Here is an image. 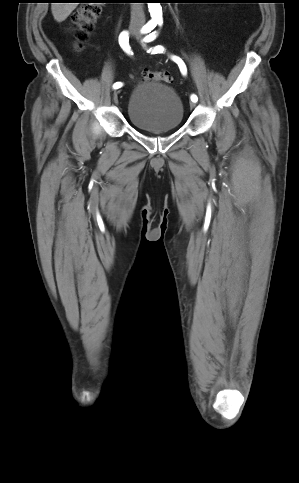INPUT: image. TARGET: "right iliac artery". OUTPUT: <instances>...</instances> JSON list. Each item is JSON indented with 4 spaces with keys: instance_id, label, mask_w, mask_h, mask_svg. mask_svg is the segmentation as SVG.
<instances>
[{
    "instance_id": "obj_1",
    "label": "right iliac artery",
    "mask_w": 299,
    "mask_h": 483,
    "mask_svg": "<svg viewBox=\"0 0 299 483\" xmlns=\"http://www.w3.org/2000/svg\"><path fill=\"white\" fill-rule=\"evenodd\" d=\"M157 24L156 23H150V24H147L145 25L142 30H141V33H149L151 32V30H153L155 28ZM119 44L121 46V48L129 55H132V51H131V48L129 46V36H128V32L127 31H123L120 35H119ZM123 86V83L122 82H116L114 83L113 85V88L114 89H118V88H121Z\"/></svg>"
}]
</instances>
